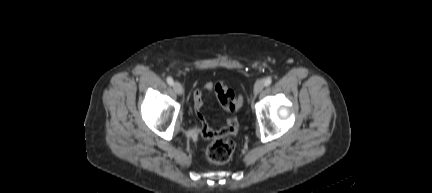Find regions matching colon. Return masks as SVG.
Segmentation results:
<instances>
[{
	"label": "colon",
	"instance_id": "5ec220e1",
	"mask_svg": "<svg viewBox=\"0 0 432 193\" xmlns=\"http://www.w3.org/2000/svg\"><path fill=\"white\" fill-rule=\"evenodd\" d=\"M215 93L219 104L228 112L235 113L243 105V98L237 97L234 91L224 81L215 84ZM235 150L234 141L227 136L215 138L207 147L205 157L211 164H224L233 155Z\"/></svg>",
	"mask_w": 432,
	"mask_h": 193
}]
</instances>
